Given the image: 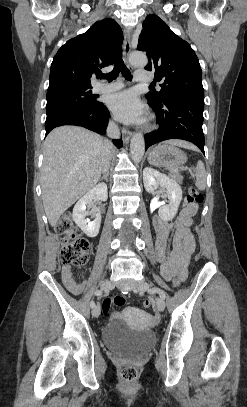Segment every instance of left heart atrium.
<instances>
[{"instance_id":"left-heart-atrium-1","label":"left heart atrium","mask_w":247,"mask_h":407,"mask_svg":"<svg viewBox=\"0 0 247 407\" xmlns=\"http://www.w3.org/2000/svg\"><path fill=\"white\" fill-rule=\"evenodd\" d=\"M107 103L114 116L122 122L140 123L144 120V106L131 91L113 94L108 98Z\"/></svg>"}]
</instances>
